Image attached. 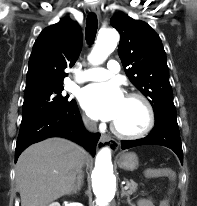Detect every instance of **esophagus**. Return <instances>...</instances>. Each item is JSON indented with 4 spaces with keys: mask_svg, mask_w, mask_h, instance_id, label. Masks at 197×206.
I'll return each instance as SVG.
<instances>
[{
    "mask_svg": "<svg viewBox=\"0 0 197 206\" xmlns=\"http://www.w3.org/2000/svg\"><path fill=\"white\" fill-rule=\"evenodd\" d=\"M91 10L97 17L101 16V12H100L98 5H92ZM118 146L119 145H118L117 141L112 139L109 135H106V134L101 135L100 143H99L100 148L101 147H109L111 150H117Z\"/></svg>",
    "mask_w": 197,
    "mask_h": 206,
    "instance_id": "esophagus-1",
    "label": "esophagus"
}]
</instances>
